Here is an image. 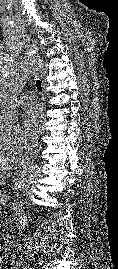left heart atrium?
Listing matches in <instances>:
<instances>
[{"label": "left heart atrium", "instance_id": "obj_1", "mask_svg": "<svg viewBox=\"0 0 118 269\" xmlns=\"http://www.w3.org/2000/svg\"><path fill=\"white\" fill-rule=\"evenodd\" d=\"M45 110L42 104L34 102L23 113V123L31 137L35 138L43 129Z\"/></svg>", "mask_w": 118, "mask_h": 269}]
</instances>
